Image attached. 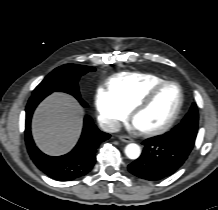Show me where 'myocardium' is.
Returning a JSON list of instances; mask_svg holds the SVG:
<instances>
[{
  "label": "myocardium",
  "mask_w": 218,
  "mask_h": 210,
  "mask_svg": "<svg viewBox=\"0 0 218 210\" xmlns=\"http://www.w3.org/2000/svg\"><path fill=\"white\" fill-rule=\"evenodd\" d=\"M169 84H174L178 87L179 89V103L178 106L173 114V116L171 117V119L163 126L157 128V129H153V130H146V131H140L139 133L143 136L146 137H153V136H158L161 134L166 133L167 131H169L174 125L175 123L178 121L183 106H184V90L183 87L181 86V84L175 80H164L160 83H158L157 85H155L154 87H152L132 108L131 110V119L134 120L135 116L142 111L143 109L147 108L155 99V97L158 95V93L167 85Z\"/></svg>",
  "instance_id": "obj_1"
}]
</instances>
